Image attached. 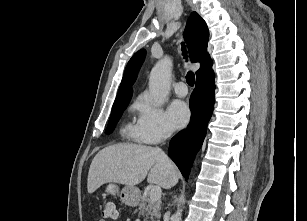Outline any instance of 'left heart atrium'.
Instances as JSON below:
<instances>
[{
  "label": "left heart atrium",
  "mask_w": 307,
  "mask_h": 221,
  "mask_svg": "<svg viewBox=\"0 0 307 221\" xmlns=\"http://www.w3.org/2000/svg\"><path fill=\"white\" fill-rule=\"evenodd\" d=\"M168 116L173 127L181 129L188 124L191 114L185 102L175 100L168 108Z\"/></svg>",
  "instance_id": "obj_1"
}]
</instances>
